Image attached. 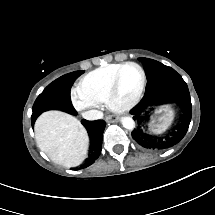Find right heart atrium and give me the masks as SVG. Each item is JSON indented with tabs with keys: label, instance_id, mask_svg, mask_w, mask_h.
Masks as SVG:
<instances>
[{
	"label": "right heart atrium",
	"instance_id": "1",
	"mask_svg": "<svg viewBox=\"0 0 215 215\" xmlns=\"http://www.w3.org/2000/svg\"><path fill=\"white\" fill-rule=\"evenodd\" d=\"M72 102L75 109L80 112L84 117L90 118L95 116L96 113L92 110L90 102L79 93H73Z\"/></svg>",
	"mask_w": 215,
	"mask_h": 215
}]
</instances>
